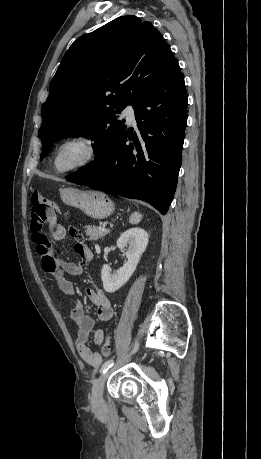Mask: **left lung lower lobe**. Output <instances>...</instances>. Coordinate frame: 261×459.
<instances>
[{
  "instance_id": "1",
  "label": "left lung lower lobe",
  "mask_w": 261,
  "mask_h": 459,
  "mask_svg": "<svg viewBox=\"0 0 261 459\" xmlns=\"http://www.w3.org/2000/svg\"><path fill=\"white\" fill-rule=\"evenodd\" d=\"M188 96L176 61L169 72L134 105L137 132L121 134L94 167L66 180L144 200L166 214L177 185L187 123ZM128 140L132 142L126 144Z\"/></svg>"
}]
</instances>
